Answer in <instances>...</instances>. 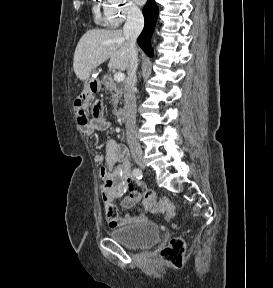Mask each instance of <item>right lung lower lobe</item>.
I'll return each mask as SVG.
<instances>
[{"label": "right lung lower lobe", "instance_id": "1", "mask_svg": "<svg viewBox=\"0 0 273 288\" xmlns=\"http://www.w3.org/2000/svg\"><path fill=\"white\" fill-rule=\"evenodd\" d=\"M143 15L145 18V27L138 38V44L148 56H152L148 37L150 36L155 27L158 16V7L154 0H148V2L143 8Z\"/></svg>", "mask_w": 273, "mask_h": 288}]
</instances>
